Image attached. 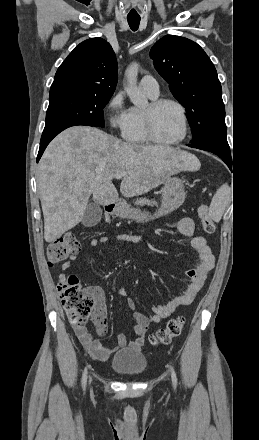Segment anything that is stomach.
I'll list each match as a JSON object with an SVG mask.
<instances>
[{
	"label": "stomach",
	"instance_id": "obj_1",
	"mask_svg": "<svg viewBox=\"0 0 259 440\" xmlns=\"http://www.w3.org/2000/svg\"><path fill=\"white\" fill-rule=\"evenodd\" d=\"M185 197L184 182L177 177L170 176L164 182L161 206L154 215H149V213L141 211L140 209L131 208L124 202L116 207L114 214L123 219H131L136 222H146L148 220L166 216L176 210L182 205Z\"/></svg>",
	"mask_w": 259,
	"mask_h": 440
}]
</instances>
